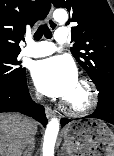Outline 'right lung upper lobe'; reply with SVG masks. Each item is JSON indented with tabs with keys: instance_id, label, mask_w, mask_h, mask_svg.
<instances>
[{
	"instance_id": "cb5924a9",
	"label": "right lung upper lobe",
	"mask_w": 114,
	"mask_h": 156,
	"mask_svg": "<svg viewBox=\"0 0 114 156\" xmlns=\"http://www.w3.org/2000/svg\"><path fill=\"white\" fill-rule=\"evenodd\" d=\"M50 8V0H0V51H21V35L44 19Z\"/></svg>"
}]
</instances>
